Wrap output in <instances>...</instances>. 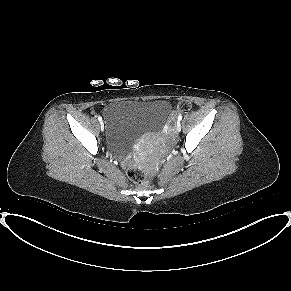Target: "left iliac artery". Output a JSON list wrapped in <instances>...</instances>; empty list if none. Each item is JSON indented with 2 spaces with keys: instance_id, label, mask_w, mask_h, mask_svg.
I'll return each instance as SVG.
<instances>
[{
  "instance_id": "left-iliac-artery-1",
  "label": "left iliac artery",
  "mask_w": 291,
  "mask_h": 291,
  "mask_svg": "<svg viewBox=\"0 0 291 291\" xmlns=\"http://www.w3.org/2000/svg\"><path fill=\"white\" fill-rule=\"evenodd\" d=\"M182 120V115L180 114L179 116H178V121L180 122Z\"/></svg>"
}]
</instances>
